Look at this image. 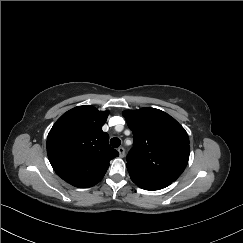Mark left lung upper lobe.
Returning a JSON list of instances; mask_svg holds the SVG:
<instances>
[{
  "label": "left lung upper lobe",
  "mask_w": 243,
  "mask_h": 243,
  "mask_svg": "<svg viewBox=\"0 0 243 243\" xmlns=\"http://www.w3.org/2000/svg\"><path fill=\"white\" fill-rule=\"evenodd\" d=\"M133 132L127 169L137 185L175 181L184 171L190 153L185 129L167 113L155 108L123 112Z\"/></svg>",
  "instance_id": "left-lung-upper-lobe-1"
}]
</instances>
